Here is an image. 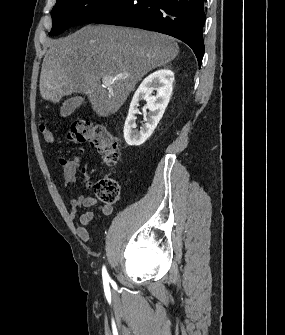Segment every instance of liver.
<instances>
[{
	"instance_id": "obj_1",
	"label": "liver",
	"mask_w": 285,
	"mask_h": 335,
	"mask_svg": "<svg viewBox=\"0 0 285 335\" xmlns=\"http://www.w3.org/2000/svg\"><path fill=\"white\" fill-rule=\"evenodd\" d=\"M40 74L42 100L58 104L64 96L83 94L100 118L116 114L148 72L179 54L174 38L122 26H84L67 38L48 40ZM129 78L101 84L103 76Z\"/></svg>"
}]
</instances>
